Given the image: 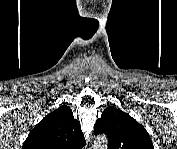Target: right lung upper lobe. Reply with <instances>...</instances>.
<instances>
[{
  "instance_id": "1",
  "label": "right lung upper lobe",
  "mask_w": 177,
  "mask_h": 149,
  "mask_svg": "<svg viewBox=\"0 0 177 149\" xmlns=\"http://www.w3.org/2000/svg\"><path fill=\"white\" fill-rule=\"evenodd\" d=\"M85 145L84 134L72 110L62 105L48 114L28 135L25 149H81Z\"/></svg>"
}]
</instances>
